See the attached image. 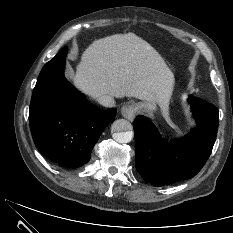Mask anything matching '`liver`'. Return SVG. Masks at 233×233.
Returning <instances> with one entry per match:
<instances>
[{"label": "liver", "mask_w": 233, "mask_h": 233, "mask_svg": "<svg viewBox=\"0 0 233 233\" xmlns=\"http://www.w3.org/2000/svg\"><path fill=\"white\" fill-rule=\"evenodd\" d=\"M74 85L99 98L135 97L167 105L174 74L161 55L134 33L115 34L94 41L82 54Z\"/></svg>", "instance_id": "6515ba94"}]
</instances>
